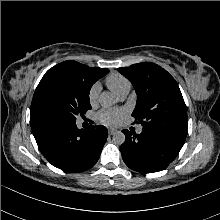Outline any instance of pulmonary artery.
I'll return each mask as SVG.
<instances>
[{
	"mask_svg": "<svg viewBox=\"0 0 220 220\" xmlns=\"http://www.w3.org/2000/svg\"><path fill=\"white\" fill-rule=\"evenodd\" d=\"M128 92H129V90H125V91L121 92V93L118 95L119 98H120V99H124V98L127 96ZM141 132H142V129H141V128H138L137 133L140 134Z\"/></svg>",
	"mask_w": 220,
	"mask_h": 220,
	"instance_id": "pulmonary-artery-1",
	"label": "pulmonary artery"
}]
</instances>
